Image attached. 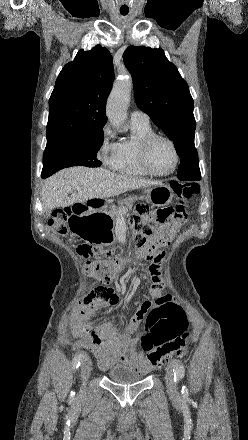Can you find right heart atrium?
I'll return each mask as SVG.
<instances>
[{
  "label": "right heart atrium",
  "mask_w": 248,
  "mask_h": 440,
  "mask_svg": "<svg viewBox=\"0 0 248 440\" xmlns=\"http://www.w3.org/2000/svg\"><path fill=\"white\" fill-rule=\"evenodd\" d=\"M119 143L114 140V133L109 125L102 128L101 142L98 148V158L109 167L114 168L117 160Z\"/></svg>",
  "instance_id": "1"
}]
</instances>
